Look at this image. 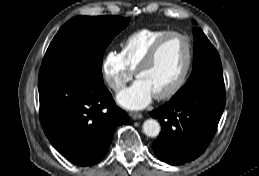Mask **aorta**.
Masks as SVG:
<instances>
[{"label": "aorta", "instance_id": "aorta-1", "mask_svg": "<svg viewBox=\"0 0 259 176\" xmlns=\"http://www.w3.org/2000/svg\"><path fill=\"white\" fill-rule=\"evenodd\" d=\"M160 131V124L155 119H147L143 123V132L148 137H157Z\"/></svg>", "mask_w": 259, "mask_h": 176}]
</instances>
